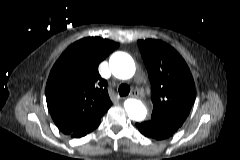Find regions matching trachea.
I'll use <instances>...</instances> for the list:
<instances>
[{
	"mask_svg": "<svg viewBox=\"0 0 240 160\" xmlns=\"http://www.w3.org/2000/svg\"><path fill=\"white\" fill-rule=\"evenodd\" d=\"M118 92H119L121 97L126 96L130 93V86L125 84V83H122L118 87Z\"/></svg>",
	"mask_w": 240,
	"mask_h": 160,
	"instance_id": "trachea-1",
	"label": "trachea"
}]
</instances>
